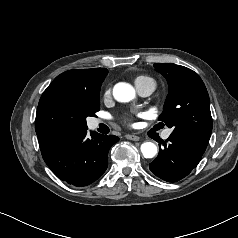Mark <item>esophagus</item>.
<instances>
[{"instance_id":"34e87169","label":"esophagus","mask_w":238,"mask_h":238,"mask_svg":"<svg viewBox=\"0 0 238 238\" xmlns=\"http://www.w3.org/2000/svg\"><path fill=\"white\" fill-rule=\"evenodd\" d=\"M126 139H129V140H132V141H139L140 140V137L136 136V135H133V134H127L125 136Z\"/></svg>"}]
</instances>
